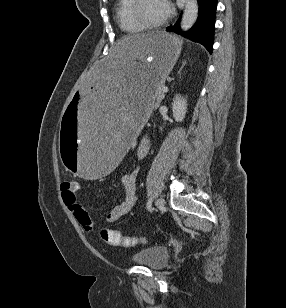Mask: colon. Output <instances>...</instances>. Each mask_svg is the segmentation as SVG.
<instances>
[{
  "instance_id": "obj_1",
  "label": "colon",
  "mask_w": 286,
  "mask_h": 308,
  "mask_svg": "<svg viewBox=\"0 0 286 308\" xmlns=\"http://www.w3.org/2000/svg\"><path fill=\"white\" fill-rule=\"evenodd\" d=\"M61 188L65 195L75 196L79 189V183L75 180H66L61 184ZM101 237L106 243L118 247H134L147 242L145 238L126 237L116 230L107 228L102 229Z\"/></svg>"
}]
</instances>
